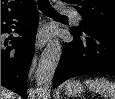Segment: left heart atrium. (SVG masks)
I'll return each instance as SVG.
<instances>
[{
	"label": "left heart atrium",
	"mask_w": 115,
	"mask_h": 99,
	"mask_svg": "<svg viewBox=\"0 0 115 99\" xmlns=\"http://www.w3.org/2000/svg\"><path fill=\"white\" fill-rule=\"evenodd\" d=\"M42 36L45 37V38H47V37H48V32H44V33L42 34Z\"/></svg>",
	"instance_id": "left-heart-atrium-1"
}]
</instances>
